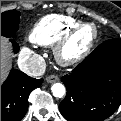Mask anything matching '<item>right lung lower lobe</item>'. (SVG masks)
Listing matches in <instances>:
<instances>
[{
    "label": "right lung lower lobe",
    "instance_id": "1",
    "mask_svg": "<svg viewBox=\"0 0 121 121\" xmlns=\"http://www.w3.org/2000/svg\"><path fill=\"white\" fill-rule=\"evenodd\" d=\"M10 41L17 53L18 44L13 39ZM42 82L43 79L31 78L19 70H11L1 86V121H20L27 112L30 92Z\"/></svg>",
    "mask_w": 121,
    "mask_h": 121
}]
</instances>
